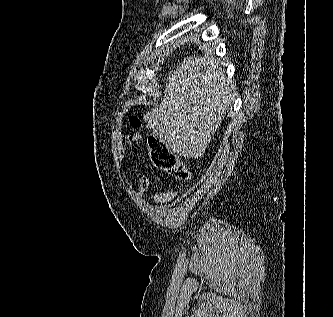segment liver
I'll return each mask as SVG.
<instances>
[{"mask_svg":"<svg viewBox=\"0 0 333 317\" xmlns=\"http://www.w3.org/2000/svg\"><path fill=\"white\" fill-rule=\"evenodd\" d=\"M235 89L211 52L184 58L167 78L161 104L144 121L166 148L185 158L205 153L231 108Z\"/></svg>","mask_w":333,"mask_h":317,"instance_id":"obj_1","label":"liver"}]
</instances>
